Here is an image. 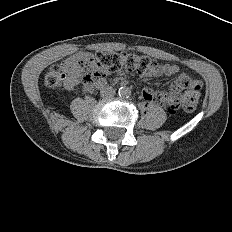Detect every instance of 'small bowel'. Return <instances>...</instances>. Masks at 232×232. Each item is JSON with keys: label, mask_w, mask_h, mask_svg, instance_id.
I'll return each instance as SVG.
<instances>
[{"label": "small bowel", "mask_w": 232, "mask_h": 232, "mask_svg": "<svg viewBox=\"0 0 232 232\" xmlns=\"http://www.w3.org/2000/svg\"><path fill=\"white\" fill-rule=\"evenodd\" d=\"M64 64V70L67 73V77L65 80V87L67 90L74 91L76 90L79 79L82 74V69L75 63L74 58H70L63 62ZM180 72L179 66L175 64H162L158 66L156 69L152 70L149 73H146L145 75H151V76H160V75H166V76H172L175 74H178ZM187 78L189 79L191 85L193 87H198L201 89L202 82L195 78H190L187 74H180L178 79L180 78ZM177 79V80H178ZM97 82H100L101 84L105 85V80L103 78L99 79ZM88 91H91L90 88L87 89ZM160 92H153L150 89H144L142 92V98L148 102H155V96L159 94Z\"/></svg>", "instance_id": "1"}]
</instances>
